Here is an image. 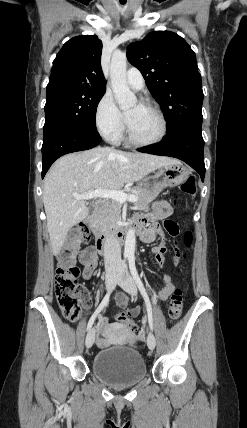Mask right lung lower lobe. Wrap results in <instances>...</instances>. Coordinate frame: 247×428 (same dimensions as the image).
<instances>
[{
    "mask_svg": "<svg viewBox=\"0 0 247 428\" xmlns=\"http://www.w3.org/2000/svg\"><path fill=\"white\" fill-rule=\"evenodd\" d=\"M101 142L97 131H86L71 126H53L44 130L42 146V178L52 163L67 153L87 150Z\"/></svg>",
    "mask_w": 247,
    "mask_h": 428,
    "instance_id": "right-lung-lower-lobe-1",
    "label": "right lung lower lobe"
}]
</instances>
